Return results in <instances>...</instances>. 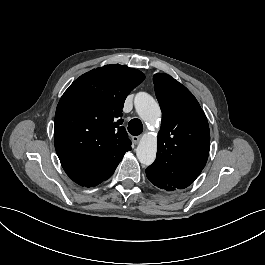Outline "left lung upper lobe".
Returning <instances> with one entry per match:
<instances>
[{
    "instance_id": "1",
    "label": "left lung upper lobe",
    "mask_w": 265,
    "mask_h": 265,
    "mask_svg": "<svg viewBox=\"0 0 265 265\" xmlns=\"http://www.w3.org/2000/svg\"><path fill=\"white\" fill-rule=\"evenodd\" d=\"M162 111L155 162L146 172L166 184L184 189L206 165L210 133L207 118L196 98L170 75L153 77Z\"/></svg>"
}]
</instances>
